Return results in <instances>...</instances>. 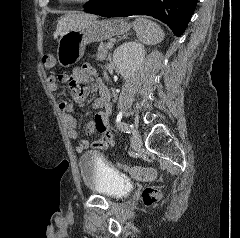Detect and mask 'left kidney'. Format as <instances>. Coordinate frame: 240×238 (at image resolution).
<instances>
[{
	"instance_id": "left-kidney-1",
	"label": "left kidney",
	"mask_w": 240,
	"mask_h": 238,
	"mask_svg": "<svg viewBox=\"0 0 240 238\" xmlns=\"http://www.w3.org/2000/svg\"><path fill=\"white\" fill-rule=\"evenodd\" d=\"M145 57L143 46L136 41H129L117 47L113 53V63L124 79H127L142 63Z\"/></svg>"
}]
</instances>
